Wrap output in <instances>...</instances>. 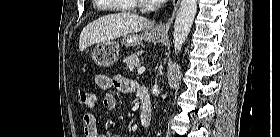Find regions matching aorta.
<instances>
[{
    "mask_svg": "<svg viewBox=\"0 0 280 137\" xmlns=\"http://www.w3.org/2000/svg\"><path fill=\"white\" fill-rule=\"evenodd\" d=\"M197 12V0H181L179 10L176 15L173 44L175 54H178L188 37L194 17Z\"/></svg>",
    "mask_w": 280,
    "mask_h": 137,
    "instance_id": "aorta-1",
    "label": "aorta"
}]
</instances>
